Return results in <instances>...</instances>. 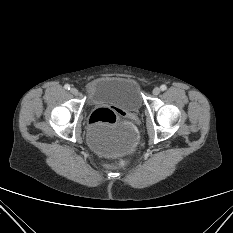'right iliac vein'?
<instances>
[{"mask_svg": "<svg viewBox=\"0 0 233 233\" xmlns=\"http://www.w3.org/2000/svg\"><path fill=\"white\" fill-rule=\"evenodd\" d=\"M70 92L75 96H77L78 93H79L78 90L75 87L71 88Z\"/></svg>", "mask_w": 233, "mask_h": 233, "instance_id": "right-iliac-vein-1", "label": "right iliac vein"}]
</instances>
